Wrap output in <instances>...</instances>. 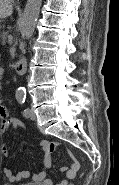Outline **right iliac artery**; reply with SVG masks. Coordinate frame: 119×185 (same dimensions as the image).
Listing matches in <instances>:
<instances>
[{
	"mask_svg": "<svg viewBox=\"0 0 119 185\" xmlns=\"http://www.w3.org/2000/svg\"><path fill=\"white\" fill-rule=\"evenodd\" d=\"M25 95L23 94V93H18V94H16V97L17 98H22V97H24Z\"/></svg>",
	"mask_w": 119,
	"mask_h": 185,
	"instance_id": "1",
	"label": "right iliac artery"
}]
</instances>
